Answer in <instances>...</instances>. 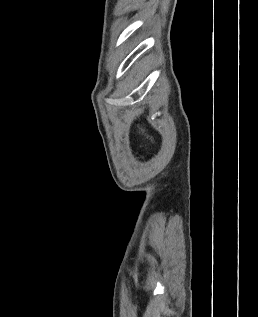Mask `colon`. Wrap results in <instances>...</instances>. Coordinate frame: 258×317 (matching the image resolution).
<instances>
[{"label": "colon", "mask_w": 258, "mask_h": 317, "mask_svg": "<svg viewBox=\"0 0 258 317\" xmlns=\"http://www.w3.org/2000/svg\"><path fill=\"white\" fill-rule=\"evenodd\" d=\"M140 130L143 134H145L148 138L153 140V136L147 131V129L144 126H140Z\"/></svg>", "instance_id": "colon-1"}]
</instances>
